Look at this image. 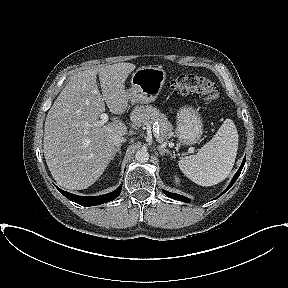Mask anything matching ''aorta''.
I'll return each instance as SVG.
<instances>
[{
  "instance_id": "1",
  "label": "aorta",
  "mask_w": 288,
  "mask_h": 288,
  "mask_svg": "<svg viewBox=\"0 0 288 288\" xmlns=\"http://www.w3.org/2000/svg\"><path fill=\"white\" fill-rule=\"evenodd\" d=\"M135 158L140 163H145L149 160V153L147 150H138L135 154Z\"/></svg>"
}]
</instances>
